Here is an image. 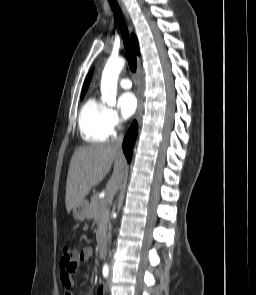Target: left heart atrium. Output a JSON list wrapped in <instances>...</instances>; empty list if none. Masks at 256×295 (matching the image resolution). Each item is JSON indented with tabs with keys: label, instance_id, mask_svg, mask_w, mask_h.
<instances>
[{
	"label": "left heart atrium",
	"instance_id": "39dd6f15",
	"mask_svg": "<svg viewBox=\"0 0 256 295\" xmlns=\"http://www.w3.org/2000/svg\"><path fill=\"white\" fill-rule=\"evenodd\" d=\"M118 107L124 119L130 118L136 111L137 100L133 93L125 92L119 97Z\"/></svg>",
	"mask_w": 256,
	"mask_h": 295
}]
</instances>
